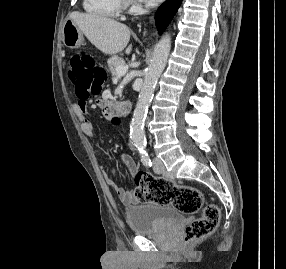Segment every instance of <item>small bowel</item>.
Instances as JSON below:
<instances>
[{
  "mask_svg": "<svg viewBox=\"0 0 286 269\" xmlns=\"http://www.w3.org/2000/svg\"><path fill=\"white\" fill-rule=\"evenodd\" d=\"M107 101H97L96 105L99 106V110H102V119L103 120H115L116 112L110 111L107 106ZM73 110L78 120L80 122L82 132L89 138L98 140L97 135L95 133L93 124L91 120L88 118L89 108L87 106L85 97L80 98L73 105ZM104 155V147H101L98 152V158L102 160ZM120 162L127 168L129 174L131 176H135L138 173V166L134 159L128 154H122L120 156ZM119 176V172L116 168H109L105 170V180L107 184L115 191L119 199L124 204H134L137 202V198L135 196V192L130 189H125L123 187L118 186L112 177Z\"/></svg>",
  "mask_w": 286,
  "mask_h": 269,
  "instance_id": "obj_1",
  "label": "small bowel"
}]
</instances>
